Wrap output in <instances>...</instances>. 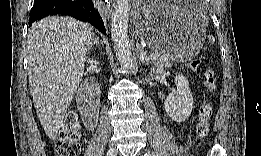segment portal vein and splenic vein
I'll list each match as a JSON object with an SVG mask.
<instances>
[{"label":"portal vein and splenic vein","mask_w":261,"mask_h":156,"mask_svg":"<svg viewBox=\"0 0 261 156\" xmlns=\"http://www.w3.org/2000/svg\"><path fill=\"white\" fill-rule=\"evenodd\" d=\"M158 57V54L153 53L150 55L151 60H155Z\"/></svg>","instance_id":"18ae733b"}]
</instances>
